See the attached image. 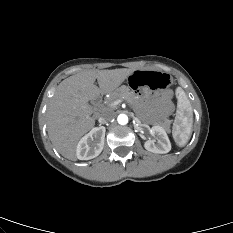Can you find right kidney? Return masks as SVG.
I'll return each instance as SVG.
<instances>
[{
    "instance_id": "right-kidney-1",
    "label": "right kidney",
    "mask_w": 233,
    "mask_h": 233,
    "mask_svg": "<svg viewBox=\"0 0 233 233\" xmlns=\"http://www.w3.org/2000/svg\"><path fill=\"white\" fill-rule=\"evenodd\" d=\"M105 127H95L81 138L76 147V155L80 160H90L97 157L103 150Z\"/></svg>"
}]
</instances>
